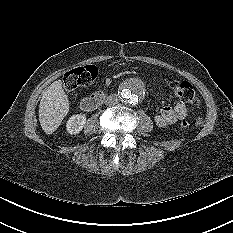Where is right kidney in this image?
Listing matches in <instances>:
<instances>
[{
  "label": "right kidney",
  "instance_id": "obj_1",
  "mask_svg": "<svg viewBox=\"0 0 233 233\" xmlns=\"http://www.w3.org/2000/svg\"><path fill=\"white\" fill-rule=\"evenodd\" d=\"M86 123L85 114L72 115L66 123V130L69 134L79 133Z\"/></svg>",
  "mask_w": 233,
  "mask_h": 233
}]
</instances>
